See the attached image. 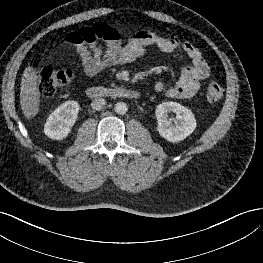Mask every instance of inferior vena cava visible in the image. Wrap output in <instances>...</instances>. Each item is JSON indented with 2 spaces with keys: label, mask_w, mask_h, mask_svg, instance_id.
<instances>
[{
  "label": "inferior vena cava",
  "mask_w": 263,
  "mask_h": 263,
  "mask_svg": "<svg viewBox=\"0 0 263 263\" xmlns=\"http://www.w3.org/2000/svg\"><path fill=\"white\" fill-rule=\"evenodd\" d=\"M105 105H106L105 99L99 98V97L93 99L92 102H91V107L94 110H102V109H104Z\"/></svg>",
  "instance_id": "inferior-vena-cava-1"
}]
</instances>
